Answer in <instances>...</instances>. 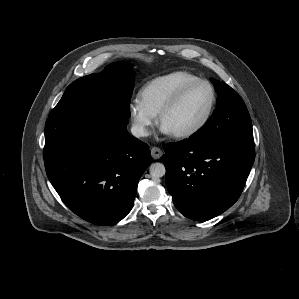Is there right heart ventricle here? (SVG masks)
I'll return each instance as SVG.
<instances>
[{
	"mask_svg": "<svg viewBox=\"0 0 299 299\" xmlns=\"http://www.w3.org/2000/svg\"><path fill=\"white\" fill-rule=\"evenodd\" d=\"M199 79L187 71H176L157 77L143 86L139 98L141 103L158 115L163 106L185 84Z\"/></svg>",
	"mask_w": 299,
	"mask_h": 299,
	"instance_id": "e07e8e85",
	"label": "right heart ventricle"
}]
</instances>
